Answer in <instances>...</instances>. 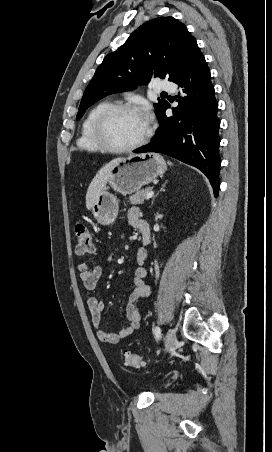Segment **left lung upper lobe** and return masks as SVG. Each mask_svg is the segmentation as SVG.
<instances>
[{
    "label": "left lung upper lobe",
    "instance_id": "5c2ea615",
    "mask_svg": "<svg viewBox=\"0 0 272 452\" xmlns=\"http://www.w3.org/2000/svg\"><path fill=\"white\" fill-rule=\"evenodd\" d=\"M196 44L186 26L173 17H158L140 26L97 68L81 100L76 120L103 97L149 82L152 76L174 81ZM165 100L154 104L159 116Z\"/></svg>",
    "mask_w": 272,
    "mask_h": 452
}]
</instances>
